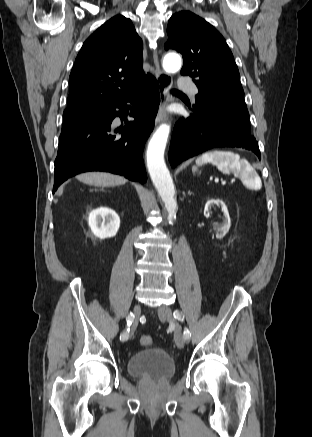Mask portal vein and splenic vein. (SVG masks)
<instances>
[{
    "label": "portal vein and splenic vein",
    "mask_w": 312,
    "mask_h": 437,
    "mask_svg": "<svg viewBox=\"0 0 312 437\" xmlns=\"http://www.w3.org/2000/svg\"><path fill=\"white\" fill-rule=\"evenodd\" d=\"M225 183H226V181L222 180V184H225Z\"/></svg>",
    "instance_id": "18ae733b"
}]
</instances>
